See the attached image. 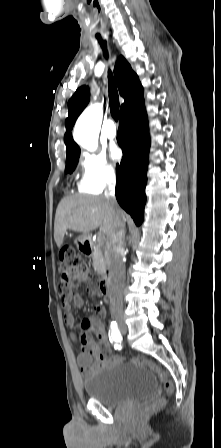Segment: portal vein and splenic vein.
I'll list each match as a JSON object with an SVG mask.
<instances>
[{
  "instance_id": "portal-vein-and-splenic-vein-1",
  "label": "portal vein and splenic vein",
  "mask_w": 221,
  "mask_h": 448,
  "mask_svg": "<svg viewBox=\"0 0 221 448\" xmlns=\"http://www.w3.org/2000/svg\"><path fill=\"white\" fill-rule=\"evenodd\" d=\"M98 241H102V238H99Z\"/></svg>"
}]
</instances>
